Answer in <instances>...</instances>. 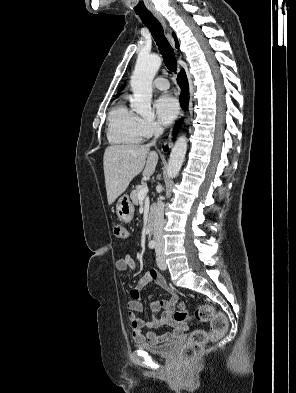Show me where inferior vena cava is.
<instances>
[{"label": "inferior vena cava", "mask_w": 296, "mask_h": 393, "mask_svg": "<svg viewBox=\"0 0 296 393\" xmlns=\"http://www.w3.org/2000/svg\"><path fill=\"white\" fill-rule=\"evenodd\" d=\"M154 140L148 144L152 146L155 144L156 139L163 133V128L159 124L153 126ZM163 227H164V203L161 200L157 201V206L155 210L154 218V240L156 242V247L158 249L164 248V238H163Z\"/></svg>", "instance_id": "602c4592"}]
</instances>
